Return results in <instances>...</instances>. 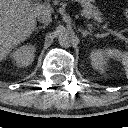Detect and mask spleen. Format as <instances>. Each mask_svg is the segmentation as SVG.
<instances>
[{
	"label": "spleen",
	"mask_w": 128,
	"mask_h": 128,
	"mask_svg": "<svg viewBox=\"0 0 128 128\" xmlns=\"http://www.w3.org/2000/svg\"><path fill=\"white\" fill-rule=\"evenodd\" d=\"M104 54L108 58H114L119 61H122L123 65L125 66V73H126V77L128 79V52H122L118 49L108 48L105 50Z\"/></svg>",
	"instance_id": "3e777b00"
}]
</instances>
